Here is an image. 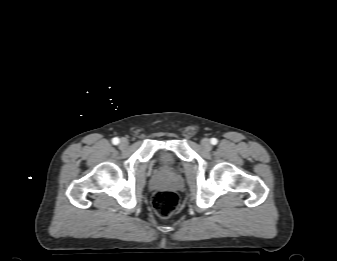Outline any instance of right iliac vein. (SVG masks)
I'll list each match as a JSON object with an SVG mask.
<instances>
[{
	"label": "right iliac vein",
	"mask_w": 337,
	"mask_h": 261,
	"mask_svg": "<svg viewBox=\"0 0 337 261\" xmlns=\"http://www.w3.org/2000/svg\"><path fill=\"white\" fill-rule=\"evenodd\" d=\"M128 144H129L128 140L126 138H122L120 140L119 147L121 149H124V148H126L128 146Z\"/></svg>",
	"instance_id": "right-iliac-vein-1"
}]
</instances>
